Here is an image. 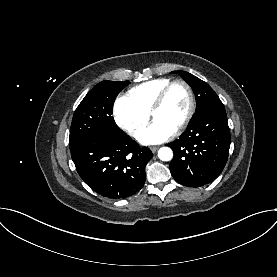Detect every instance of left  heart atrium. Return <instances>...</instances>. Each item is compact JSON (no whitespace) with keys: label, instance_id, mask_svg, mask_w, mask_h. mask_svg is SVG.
Masks as SVG:
<instances>
[{"label":"left heart atrium","instance_id":"39dd6f15","mask_svg":"<svg viewBox=\"0 0 277 277\" xmlns=\"http://www.w3.org/2000/svg\"><path fill=\"white\" fill-rule=\"evenodd\" d=\"M175 133V128L161 120L153 123L138 134V140L142 144H158L166 141Z\"/></svg>","mask_w":277,"mask_h":277}]
</instances>
